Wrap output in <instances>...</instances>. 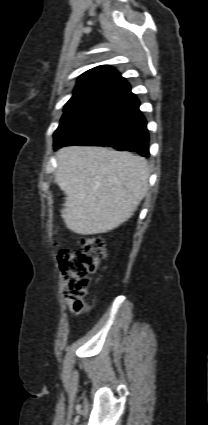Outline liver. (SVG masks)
Returning <instances> with one entry per match:
<instances>
[{"mask_svg": "<svg viewBox=\"0 0 208 425\" xmlns=\"http://www.w3.org/2000/svg\"><path fill=\"white\" fill-rule=\"evenodd\" d=\"M55 181L66 195L62 218L80 235L107 233L127 221L148 189L146 159L103 147H63Z\"/></svg>", "mask_w": 208, "mask_h": 425, "instance_id": "1", "label": "liver"}]
</instances>
